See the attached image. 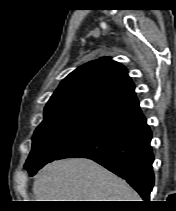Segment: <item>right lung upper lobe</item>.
Instances as JSON below:
<instances>
[{
  "mask_svg": "<svg viewBox=\"0 0 176 211\" xmlns=\"http://www.w3.org/2000/svg\"><path fill=\"white\" fill-rule=\"evenodd\" d=\"M138 108L134 83L126 68L103 57L70 73L46 104L44 115L101 122Z\"/></svg>",
  "mask_w": 176,
  "mask_h": 211,
  "instance_id": "obj_1",
  "label": "right lung upper lobe"
}]
</instances>
